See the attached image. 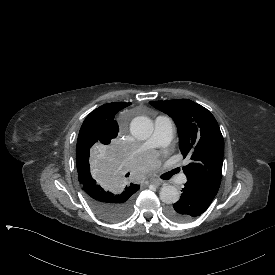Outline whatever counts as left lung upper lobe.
Wrapping results in <instances>:
<instances>
[{"instance_id": "left-lung-upper-lobe-1", "label": "left lung upper lobe", "mask_w": 275, "mask_h": 275, "mask_svg": "<svg viewBox=\"0 0 275 275\" xmlns=\"http://www.w3.org/2000/svg\"><path fill=\"white\" fill-rule=\"evenodd\" d=\"M176 123L179 148L191 162L183 167L188 181L218 192L224 153V141L217 121L209 110L188 100L151 101Z\"/></svg>"}]
</instances>
